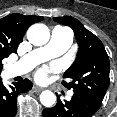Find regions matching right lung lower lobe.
<instances>
[{
  "label": "right lung lower lobe",
  "mask_w": 117,
  "mask_h": 117,
  "mask_svg": "<svg viewBox=\"0 0 117 117\" xmlns=\"http://www.w3.org/2000/svg\"><path fill=\"white\" fill-rule=\"evenodd\" d=\"M31 88L32 83L28 79L6 87L0 78V117H15L17 112V96L20 93L28 92Z\"/></svg>",
  "instance_id": "obj_1"
}]
</instances>
